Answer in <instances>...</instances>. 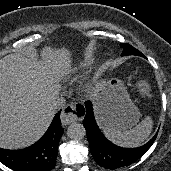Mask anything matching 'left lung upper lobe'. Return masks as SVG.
I'll list each match as a JSON object with an SVG mask.
<instances>
[{
	"instance_id": "obj_1",
	"label": "left lung upper lobe",
	"mask_w": 171,
	"mask_h": 171,
	"mask_svg": "<svg viewBox=\"0 0 171 171\" xmlns=\"http://www.w3.org/2000/svg\"><path fill=\"white\" fill-rule=\"evenodd\" d=\"M121 48H123L122 56L138 55V56L144 57V55L139 50L135 49L133 46L127 43L121 44Z\"/></svg>"
}]
</instances>
